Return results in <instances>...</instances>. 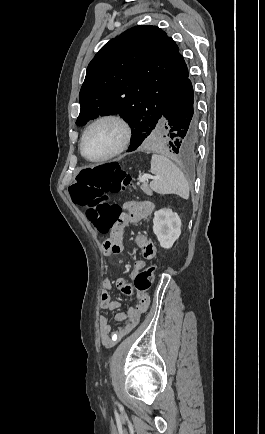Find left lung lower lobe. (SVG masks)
<instances>
[{"label": "left lung lower lobe", "instance_id": "obj_1", "mask_svg": "<svg viewBox=\"0 0 265 434\" xmlns=\"http://www.w3.org/2000/svg\"><path fill=\"white\" fill-rule=\"evenodd\" d=\"M193 97V87L188 74L160 117L161 122H165L166 125V135L169 139L167 146L177 154L191 155L196 151L199 129ZM152 129H136L132 133L128 152L136 150L150 135Z\"/></svg>", "mask_w": 265, "mask_h": 434}]
</instances>
